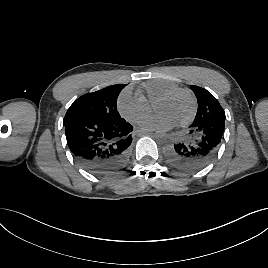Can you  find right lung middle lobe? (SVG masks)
Listing matches in <instances>:
<instances>
[{"label": "right lung middle lobe", "instance_id": "right-lung-middle-lobe-1", "mask_svg": "<svg viewBox=\"0 0 268 268\" xmlns=\"http://www.w3.org/2000/svg\"><path fill=\"white\" fill-rule=\"evenodd\" d=\"M124 87L123 84L112 85L79 97L68 109L63 124L77 117H90L106 121L121 118L117 111V98Z\"/></svg>", "mask_w": 268, "mask_h": 268}]
</instances>
